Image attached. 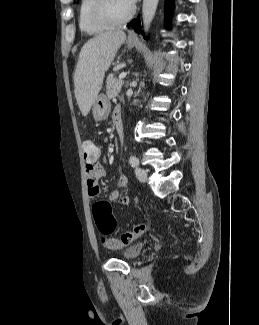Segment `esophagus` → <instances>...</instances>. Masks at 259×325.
I'll return each instance as SVG.
<instances>
[{"label":"esophagus","instance_id":"1","mask_svg":"<svg viewBox=\"0 0 259 325\" xmlns=\"http://www.w3.org/2000/svg\"><path fill=\"white\" fill-rule=\"evenodd\" d=\"M128 37H129V39H135L136 35L133 31H131V32H129Z\"/></svg>","mask_w":259,"mask_h":325}]
</instances>
